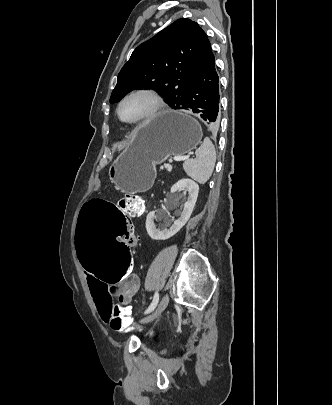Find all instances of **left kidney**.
Masks as SVG:
<instances>
[{
  "instance_id": "left-kidney-1",
  "label": "left kidney",
  "mask_w": 332,
  "mask_h": 405,
  "mask_svg": "<svg viewBox=\"0 0 332 405\" xmlns=\"http://www.w3.org/2000/svg\"><path fill=\"white\" fill-rule=\"evenodd\" d=\"M183 190V194H187V200L184 203L183 211L180 214V218L175 220L173 225L170 226V221H165V228L160 230L154 224L156 218L162 219L163 213L152 211L146 218V230L148 235L154 240H166L174 236L189 220L195 203L197 201L199 186L192 180L183 178L174 184L171 188V193ZM168 227V228H167Z\"/></svg>"
}]
</instances>
